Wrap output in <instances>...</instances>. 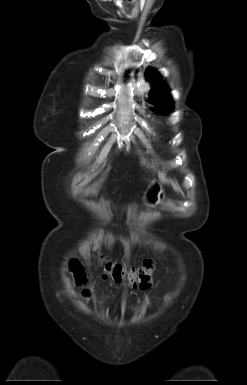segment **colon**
I'll list each match as a JSON object with an SVG mask.
<instances>
[{
  "mask_svg": "<svg viewBox=\"0 0 247 385\" xmlns=\"http://www.w3.org/2000/svg\"><path fill=\"white\" fill-rule=\"evenodd\" d=\"M101 268L105 278L115 283H128L133 288L146 289L151 285L154 261L146 259L138 267L127 268L119 263H114L101 258ZM72 272L78 284L85 282L83 269L78 263L72 266Z\"/></svg>",
  "mask_w": 247,
  "mask_h": 385,
  "instance_id": "colon-1",
  "label": "colon"
}]
</instances>
